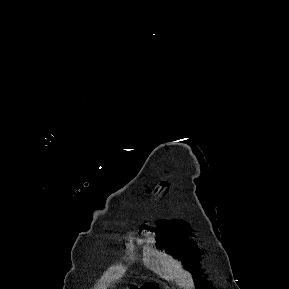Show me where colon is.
<instances>
[{
	"mask_svg": "<svg viewBox=\"0 0 289 289\" xmlns=\"http://www.w3.org/2000/svg\"><path fill=\"white\" fill-rule=\"evenodd\" d=\"M143 289H156V288L153 286H145Z\"/></svg>",
	"mask_w": 289,
	"mask_h": 289,
	"instance_id": "obj_1",
	"label": "colon"
}]
</instances>
